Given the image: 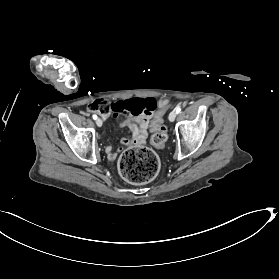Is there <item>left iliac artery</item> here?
Segmentation results:
<instances>
[{
    "label": "left iliac artery",
    "instance_id": "obj_1",
    "mask_svg": "<svg viewBox=\"0 0 279 279\" xmlns=\"http://www.w3.org/2000/svg\"><path fill=\"white\" fill-rule=\"evenodd\" d=\"M180 112H181V108H180V106H178V107L176 108V113L179 114Z\"/></svg>",
    "mask_w": 279,
    "mask_h": 279
}]
</instances>
